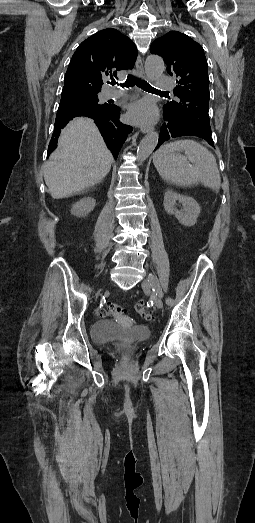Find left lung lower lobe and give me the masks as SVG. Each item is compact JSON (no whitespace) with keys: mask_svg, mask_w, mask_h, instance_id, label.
Returning <instances> with one entry per match:
<instances>
[{"mask_svg":"<svg viewBox=\"0 0 255 523\" xmlns=\"http://www.w3.org/2000/svg\"><path fill=\"white\" fill-rule=\"evenodd\" d=\"M164 115H166L163 118L164 122L161 128L157 130L159 134V137H157L158 148H163L164 140H170V137H183L184 134L201 137V140H207L206 144L208 146L215 145L213 134H210L211 130H205V127L191 123V121H184L183 118H173V115L169 117V114H165V111Z\"/></svg>","mask_w":255,"mask_h":523,"instance_id":"1","label":"left lung lower lobe"}]
</instances>
